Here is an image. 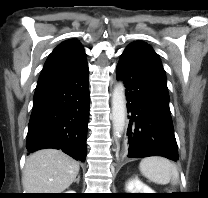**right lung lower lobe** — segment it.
Returning <instances> with one entry per match:
<instances>
[{"instance_id": "right-lung-lower-lobe-1", "label": "right lung lower lobe", "mask_w": 208, "mask_h": 198, "mask_svg": "<svg viewBox=\"0 0 208 198\" xmlns=\"http://www.w3.org/2000/svg\"><path fill=\"white\" fill-rule=\"evenodd\" d=\"M89 70L36 87L26 148L29 153L55 148L84 161L89 116Z\"/></svg>"}]
</instances>
